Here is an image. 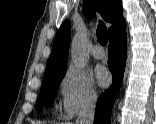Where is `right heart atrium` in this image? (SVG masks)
<instances>
[{
	"mask_svg": "<svg viewBox=\"0 0 156 124\" xmlns=\"http://www.w3.org/2000/svg\"><path fill=\"white\" fill-rule=\"evenodd\" d=\"M60 96L63 114L68 118L93 108L98 98L92 79L71 68L61 78Z\"/></svg>",
	"mask_w": 156,
	"mask_h": 124,
	"instance_id": "right-heart-atrium-1",
	"label": "right heart atrium"
}]
</instances>
